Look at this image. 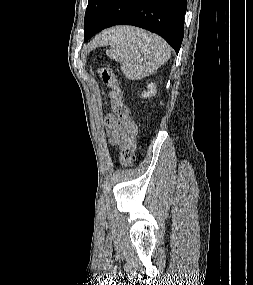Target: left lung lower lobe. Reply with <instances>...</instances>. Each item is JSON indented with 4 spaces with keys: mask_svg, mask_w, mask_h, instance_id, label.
<instances>
[{
    "mask_svg": "<svg viewBox=\"0 0 253 285\" xmlns=\"http://www.w3.org/2000/svg\"><path fill=\"white\" fill-rule=\"evenodd\" d=\"M186 9V0H110L84 39L113 25H134L160 35L178 53Z\"/></svg>",
    "mask_w": 253,
    "mask_h": 285,
    "instance_id": "1",
    "label": "left lung lower lobe"
}]
</instances>
